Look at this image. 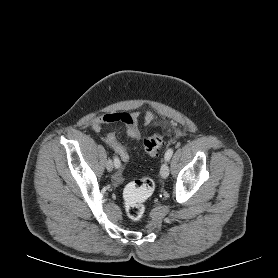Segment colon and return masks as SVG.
Here are the masks:
<instances>
[{
    "label": "colon",
    "instance_id": "obj_1",
    "mask_svg": "<svg viewBox=\"0 0 278 278\" xmlns=\"http://www.w3.org/2000/svg\"><path fill=\"white\" fill-rule=\"evenodd\" d=\"M163 144V137L154 134L144 141V149L150 156H156ZM155 188L154 181L149 177H142L129 183L124 190L125 210L133 221H139L145 213V202Z\"/></svg>",
    "mask_w": 278,
    "mask_h": 278
}]
</instances>
